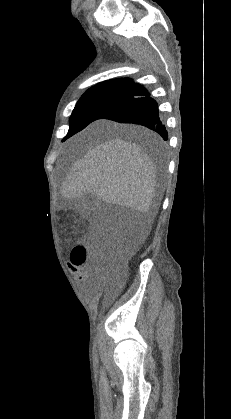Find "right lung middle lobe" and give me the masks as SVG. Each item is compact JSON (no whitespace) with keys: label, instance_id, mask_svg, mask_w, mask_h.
I'll list each match as a JSON object with an SVG mask.
<instances>
[{"label":"right lung middle lobe","instance_id":"dd1d6c3e","mask_svg":"<svg viewBox=\"0 0 231 419\" xmlns=\"http://www.w3.org/2000/svg\"><path fill=\"white\" fill-rule=\"evenodd\" d=\"M134 90L135 87L122 86L94 87L87 90L72 112L70 128L65 139L100 119L107 111L130 97Z\"/></svg>","mask_w":231,"mask_h":419}]
</instances>
